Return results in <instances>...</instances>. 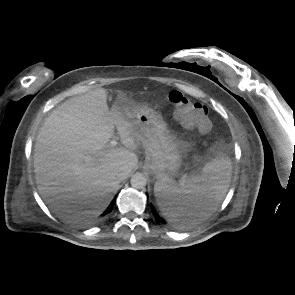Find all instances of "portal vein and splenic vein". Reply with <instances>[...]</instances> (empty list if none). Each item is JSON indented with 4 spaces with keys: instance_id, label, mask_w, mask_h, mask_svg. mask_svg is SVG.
I'll list each match as a JSON object with an SVG mask.
<instances>
[{
    "instance_id": "18ae733b",
    "label": "portal vein and splenic vein",
    "mask_w": 295,
    "mask_h": 295,
    "mask_svg": "<svg viewBox=\"0 0 295 295\" xmlns=\"http://www.w3.org/2000/svg\"><path fill=\"white\" fill-rule=\"evenodd\" d=\"M109 145H110V147H115L117 145V140H112ZM93 161H94V158H92L91 156H87L85 158V162H87V163H90Z\"/></svg>"
}]
</instances>
